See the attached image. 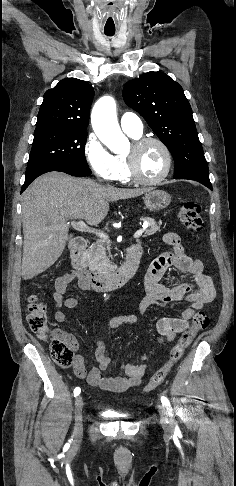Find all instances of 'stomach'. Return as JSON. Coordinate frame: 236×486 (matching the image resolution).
<instances>
[{"label":"stomach","instance_id":"stomach-1","mask_svg":"<svg viewBox=\"0 0 236 486\" xmlns=\"http://www.w3.org/2000/svg\"><path fill=\"white\" fill-rule=\"evenodd\" d=\"M143 200L150 211H160L170 204L171 196L163 190H152L144 195Z\"/></svg>","mask_w":236,"mask_h":486}]
</instances>
